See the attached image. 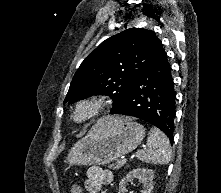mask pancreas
I'll use <instances>...</instances> for the list:
<instances>
[{
  "mask_svg": "<svg viewBox=\"0 0 221 193\" xmlns=\"http://www.w3.org/2000/svg\"><path fill=\"white\" fill-rule=\"evenodd\" d=\"M124 164H125V161L117 160L115 163L111 164L109 166V168L112 170H117V169H120L121 167H123Z\"/></svg>",
  "mask_w": 221,
  "mask_h": 193,
  "instance_id": "obj_1",
  "label": "pancreas"
}]
</instances>
